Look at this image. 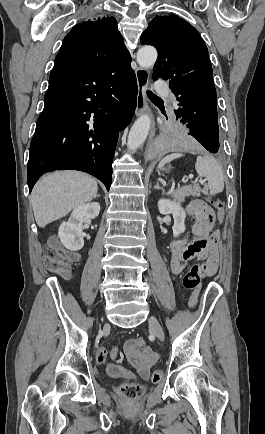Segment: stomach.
I'll use <instances>...</instances> for the list:
<instances>
[{"instance_id":"obj_1","label":"stomach","mask_w":265,"mask_h":434,"mask_svg":"<svg viewBox=\"0 0 265 434\" xmlns=\"http://www.w3.org/2000/svg\"><path fill=\"white\" fill-rule=\"evenodd\" d=\"M169 168H170V166H169ZM165 170H166V172H168V168H165Z\"/></svg>"}]
</instances>
